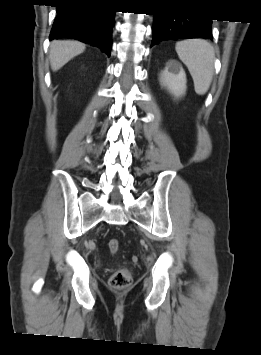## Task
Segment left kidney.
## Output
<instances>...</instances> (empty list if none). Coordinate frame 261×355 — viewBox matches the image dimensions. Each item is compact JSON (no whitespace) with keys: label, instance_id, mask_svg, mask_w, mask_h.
Masks as SVG:
<instances>
[{"label":"left kidney","instance_id":"5707ae66","mask_svg":"<svg viewBox=\"0 0 261 355\" xmlns=\"http://www.w3.org/2000/svg\"><path fill=\"white\" fill-rule=\"evenodd\" d=\"M161 85L167 87V89L175 97H180L185 94L186 91V74L182 67H179L178 73H172L168 71V68L162 71L160 77Z\"/></svg>","mask_w":261,"mask_h":355}]
</instances>
